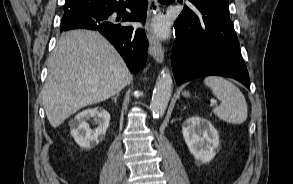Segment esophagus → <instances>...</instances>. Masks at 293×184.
<instances>
[{
    "instance_id": "1",
    "label": "esophagus",
    "mask_w": 293,
    "mask_h": 184,
    "mask_svg": "<svg viewBox=\"0 0 293 184\" xmlns=\"http://www.w3.org/2000/svg\"><path fill=\"white\" fill-rule=\"evenodd\" d=\"M160 7L158 0H148V19H150L159 12ZM149 40V50L152 57L158 62L162 63L164 60V51L162 45L158 38L152 34V32H148L147 34Z\"/></svg>"
}]
</instances>
